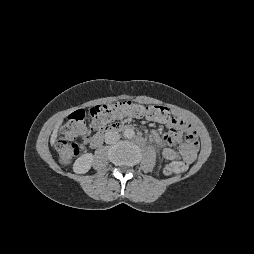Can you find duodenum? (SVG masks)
<instances>
[{
    "mask_svg": "<svg viewBox=\"0 0 254 254\" xmlns=\"http://www.w3.org/2000/svg\"><path fill=\"white\" fill-rule=\"evenodd\" d=\"M132 126L124 124V123H114L112 126L98 132L97 134H95L92 139H91V146L93 148H97L101 145V143L103 142V139L105 138V136H107L108 134H110L113 131H125V130H129L131 129Z\"/></svg>",
    "mask_w": 254,
    "mask_h": 254,
    "instance_id": "obj_1",
    "label": "duodenum"
}]
</instances>
